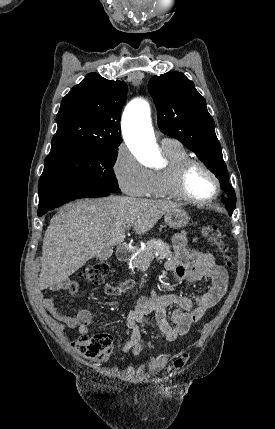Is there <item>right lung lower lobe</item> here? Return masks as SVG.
<instances>
[{
    "label": "right lung lower lobe",
    "mask_w": 275,
    "mask_h": 429,
    "mask_svg": "<svg viewBox=\"0 0 275 429\" xmlns=\"http://www.w3.org/2000/svg\"><path fill=\"white\" fill-rule=\"evenodd\" d=\"M109 194L110 192H106V191L90 190V189H83V188L62 191V192L50 195L46 198L40 199L38 216H42L47 211L53 210L54 208L59 207L74 199L87 198V197H104V196H108Z\"/></svg>",
    "instance_id": "98d812e1"
}]
</instances>
